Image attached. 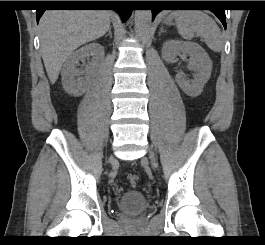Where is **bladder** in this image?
Masks as SVG:
<instances>
[{"instance_id": "bladder-1", "label": "bladder", "mask_w": 265, "mask_h": 245, "mask_svg": "<svg viewBox=\"0 0 265 245\" xmlns=\"http://www.w3.org/2000/svg\"><path fill=\"white\" fill-rule=\"evenodd\" d=\"M147 206L145 195L134 190L124 192L118 202L119 212L126 216L139 214L145 211Z\"/></svg>"}]
</instances>
